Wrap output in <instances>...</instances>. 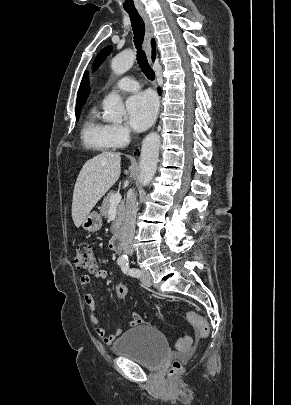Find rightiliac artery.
Listing matches in <instances>:
<instances>
[{"label": "right iliac artery", "mask_w": 291, "mask_h": 405, "mask_svg": "<svg viewBox=\"0 0 291 405\" xmlns=\"http://www.w3.org/2000/svg\"><path fill=\"white\" fill-rule=\"evenodd\" d=\"M123 263H125V261L123 260V259H120V260H118V264H123Z\"/></svg>", "instance_id": "obj_1"}]
</instances>
